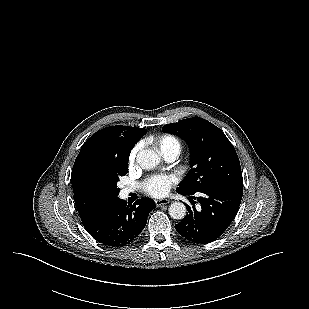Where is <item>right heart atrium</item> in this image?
<instances>
[{
    "label": "right heart atrium",
    "mask_w": 309,
    "mask_h": 309,
    "mask_svg": "<svg viewBox=\"0 0 309 309\" xmlns=\"http://www.w3.org/2000/svg\"><path fill=\"white\" fill-rule=\"evenodd\" d=\"M138 151H139V147L138 146H135L130 151L129 156H128V163H129V165H133L135 163Z\"/></svg>",
    "instance_id": "1"
}]
</instances>
